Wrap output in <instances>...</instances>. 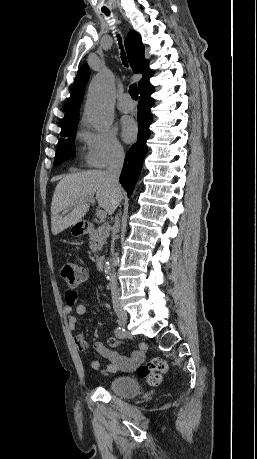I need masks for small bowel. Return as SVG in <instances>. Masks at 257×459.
<instances>
[{"label":"small bowel","mask_w":257,"mask_h":459,"mask_svg":"<svg viewBox=\"0 0 257 459\" xmlns=\"http://www.w3.org/2000/svg\"><path fill=\"white\" fill-rule=\"evenodd\" d=\"M79 295L80 292L75 287L69 288L65 293V312L68 314V327L71 331L78 330L77 316H82L87 312L86 305L78 303ZM73 310H75V314H72ZM74 342L80 351H86L89 348V343L85 340L81 331L76 332ZM108 344L110 348L106 347L101 340H95L92 345L94 350L108 360V364L102 371L104 374L116 373L118 371L132 372L144 360L145 345H141L140 348L133 351L130 356H123L112 350V348L119 346L120 343L118 340L111 338L108 340ZM90 367L93 370H98L100 368V362L97 359H93L90 362Z\"/></svg>","instance_id":"c3829d8e"}]
</instances>
